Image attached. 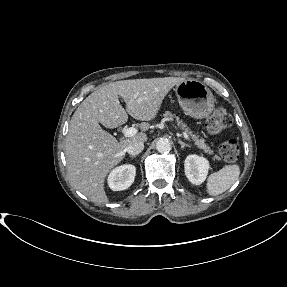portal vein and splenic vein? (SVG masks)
Here are the masks:
<instances>
[{
	"label": "portal vein and splenic vein",
	"mask_w": 287,
	"mask_h": 287,
	"mask_svg": "<svg viewBox=\"0 0 287 287\" xmlns=\"http://www.w3.org/2000/svg\"><path fill=\"white\" fill-rule=\"evenodd\" d=\"M137 133V129L134 127H130L124 130V136L125 137H132ZM183 136L185 139L189 140V136L187 133L183 132Z\"/></svg>",
	"instance_id": "18ae733b"
}]
</instances>
